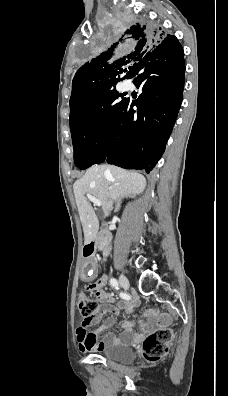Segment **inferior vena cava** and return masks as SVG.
Returning a JSON list of instances; mask_svg holds the SVG:
<instances>
[{
	"label": "inferior vena cava",
	"mask_w": 228,
	"mask_h": 396,
	"mask_svg": "<svg viewBox=\"0 0 228 396\" xmlns=\"http://www.w3.org/2000/svg\"><path fill=\"white\" fill-rule=\"evenodd\" d=\"M108 207H109V210H111V208H112V201H109Z\"/></svg>",
	"instance_id": "obj_1"
}]
</instances>
